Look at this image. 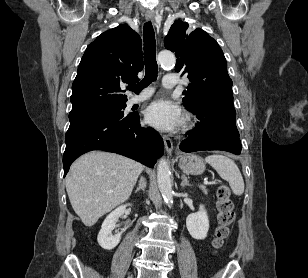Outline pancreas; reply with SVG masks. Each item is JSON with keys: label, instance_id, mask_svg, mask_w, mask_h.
I'll return each mask as SVG.
<instances>
[{"label": "pancreas", "instance_id": "1", "mask_svg": "<svg viewBox=\"0 0 308 278\" xmlns=\"http://www.w3.org/2000/svg\"><path fill=\"white\" fill-rule=\"evenodd\" d=\"M200 189L202 190V192H203L204 194H207V189H206V187H205L204 185H201V186H200Z\"/></svg>", "mask_w": 308, "mask_h": 278}]
</instances>
